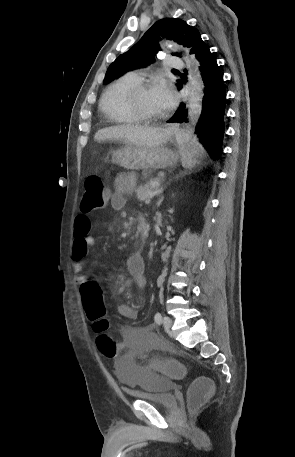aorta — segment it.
<instances>
[{
  "mask_svg": "<svg viewBox=\"0 0 295 457\" xmlns=\"http://www.w3.org/2000/svg\"><path fill=\"white\" fill-rule=\"evenodd\" d=\"M189 72L190 94L188 104V120L195 125L202 112V99L204 96V84L198 67L191 69L192 60L185 57Z\"/></svg>",
  "mask_w": 295,
  "mask_h": 457,
  "instance_id": "obj_1",
  "label": "aorta"
}]
</instances>
